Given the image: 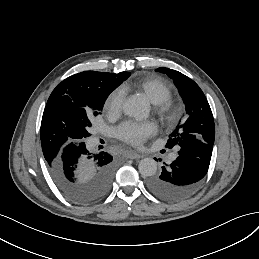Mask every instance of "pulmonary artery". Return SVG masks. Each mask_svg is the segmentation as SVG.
Returning <instances> with one entry per match:
<instances>
[{
	"mask_svg": "<svg viewBox=\"0 0 259 259\" xmlns=\"http://www.w3.org/2000/svg\"><path fill=\"white\" fill-rule=\"evenodd\" d=\"M176 157H177V154H176V153H173V154H170V155L168 156V159H167V160H168L169 162H171V161L175 160Z\"/></svg>",
	"mask_w": 259,
	"mask_h": 259,
	"instance_id": "obj_1",
	"label": "pulmonary artery"
}]
</instances>
